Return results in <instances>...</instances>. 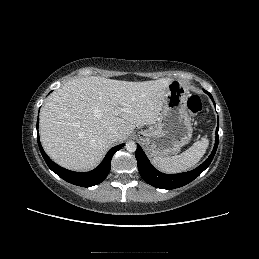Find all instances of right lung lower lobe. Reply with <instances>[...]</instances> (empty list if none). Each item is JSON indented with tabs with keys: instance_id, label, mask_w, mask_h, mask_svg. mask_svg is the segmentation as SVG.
Instances as JSON below:
<instances>
[{
	"instance_id": "obj_1",
	"label": "right lung lower lobe",
	"mask_w": 259,
	"mask_h": 259,
	"mask_svg": "<svg viewBox=\"0 0 259 259\" xmlns=\"http://www.w3.org/2000/svg\"><path fill=\"white\" fill-rule=\"evenodd\" d=\"M38 123H39V118L37 121V128H38ZM37 140H38V145H39L41 154L45 162L47 163L48 167L65 181L82 187H90L101 183L107 177L110 171L111 159L114 153L120 150L124 146V144H120L118 146L111 148L97 168H95L90 172L81 173V172H73V171L67 170L55 164L44 152L40 143L39 134L37 135Z\"/></svg>"
}]
</instances>
